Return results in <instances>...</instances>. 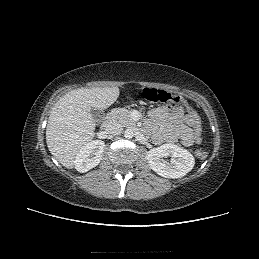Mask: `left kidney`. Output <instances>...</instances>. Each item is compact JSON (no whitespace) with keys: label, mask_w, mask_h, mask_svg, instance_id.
<instances>
[{"label":"left kidney","mask_w":259,"mask_h":259,"mask_svg":"<svg viewBox=\"0 0 259 259\" xmlns=\"http://www.w3.org/2000/svg\"><path fill=\"white\" fill-rule=\"evenodd\" d=\"M172 157L170 162L163 158ZM146 159L150 168L165 178H181L190 172L195 164V158L186 149L175 144H163L148 151Z\"/></svg>","instance_id":"obj_1"}]
</instances>
